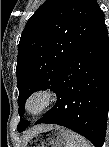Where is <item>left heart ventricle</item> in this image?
I'll list each match as a JSON object with an SVG mask.
<instances>
[{
    "instance_id": "1",
    "label": "left heart ventricle",
    "mask_w": 109,
    "mask_h": 147,
    "mask_svg": "<svg viewBox=\"0 0 109 147\" xmlns=\"http://www.w3.org/2000/svg\"><path fill=\"white\" fill-rule=\"evenodd\" d=\"M39 105H40V100L38 99L33 100L30 104L31 110L33 111L36 110L39 107Z\"/></svg>"
}]
</instances>
